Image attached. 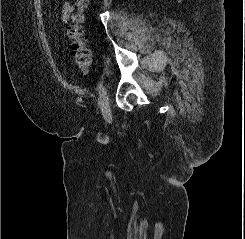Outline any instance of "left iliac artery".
<instances>
[{"label": "left iliac artery", "instance_id": "obj_1", "mask_svg": "<svg viewBox=\"0 0 245 239\" xmlns=\"http://www.w3.org/2000/svg\"><path fill=\"white\" fill-rule=\"evenodd\" d=\"M103 83H104V81L101 80V81L98 83V86H97L98 91H99V99H98V104H99V106H101V104H102V102H101V91H102V89H103Z\"/></svg>", "mask_w": 245, "mask_h": 239}]
</instances>
